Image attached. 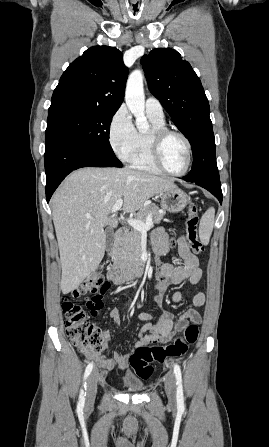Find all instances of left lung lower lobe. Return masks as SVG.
Returning a JSON list of instances; mask_svg holds the SVG:
<instances>
[{
	"mask_svg": "<svg viewBox=\"0 0 269 447\" xmlns=\"http://www.w3.org/2000/svg\"><path fill=\"white\" fill-rule=\"evenodd\" d=\"M184 180L187 182L196 183L197 185L207 189L213 195H215L217 197V199L219 200V202L222 204V190H221V184H220L219 178L202 180V181H193V180H190L188 177H186Z\"/></svg>",
	"mask_w": 269,
	"mask_h": 447,
	"instance_id": "obj_1",
	"label": "left lung lower lobe"
}]
</instances>
